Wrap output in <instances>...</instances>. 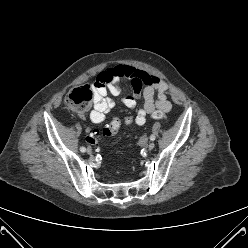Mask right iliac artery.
Wrapping results in <instances>:
<instances>
[{
  "instance_id": "right-iliac-artery-1",
  "label": "right iliac artery",
  "mask_w": 248,
  "mask_h": 248,
  "mask_svg": "<svg viewBox=\"0 0 248 248\" xmlns=\"http://www.w3.org/2000/svg\"><path fill=\"white\" fill-rule=\"evenodd\" d=\"M80 151L82 152V153H84L85 151H86V148L85 147H80Z\"/></svg>"
}]
</instances>
